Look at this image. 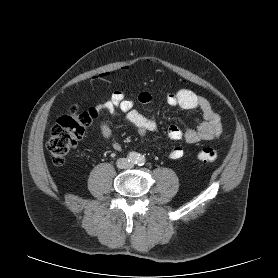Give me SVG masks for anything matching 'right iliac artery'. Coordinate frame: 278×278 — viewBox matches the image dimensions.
<instances>
[{
	"instance_id": "1",
	"label": "right iliac artery",
	"mask_w": 278,
	"mask_h": 278,
	"mask_svg": "<svg viewBox=\"0 0 278 278\" xmlns=\"http://www.w3.org/2000/svg\"><path fill=\"white\" fill-rule=\"evenodd\" d=\"M138 158H139V155L136 152H131L128 155V161L131 163H137Z\"/></svg>"
}]
</instances>
